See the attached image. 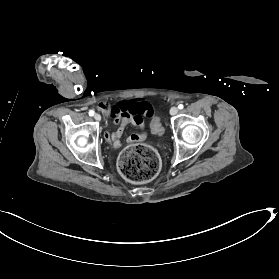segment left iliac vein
Returning a JSON list of instances; mask_svg holds the SVG:
<instances>
[{"label": "left iliac vein", "mask_w": 279, "mask_h": 279, "mask_svg": "<svg viewBox=\"0 0 279 279\" xmlns=\"http://www.w3.org/2000/svg\"><path fill=\"white\" fill-rule=\"evenodd\" d=\"M177 113H178V108L177 107L174 106L170 109V114L172 116L176 115Z\"/></svg>", "instance_id": "left-iliac-vein-1"}]
</instances>
